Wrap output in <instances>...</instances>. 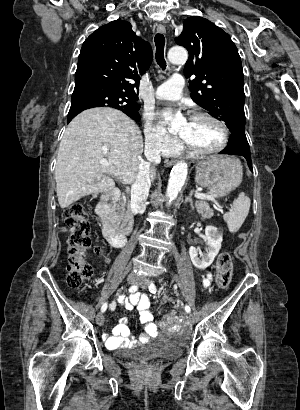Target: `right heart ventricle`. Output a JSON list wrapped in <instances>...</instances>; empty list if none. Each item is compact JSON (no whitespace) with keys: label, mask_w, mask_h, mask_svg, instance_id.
<instances>
[{"label":"right heart ventricle","mask_w":300,"mask_h":410,"mask_svg":"<svg viewBox=\"0 0 300 410\" xmlns=\"http://www.w3.org/2000/svg\"><path fill=\"white\" fill-rule=\"evenodd\" d=\"M174 155H178V154H180V149H177V150H175L174 152H172ZM171 153V154H172Z\"/></svg>","instance_id":"right-heart-ventricle-1"}]
</instances>
